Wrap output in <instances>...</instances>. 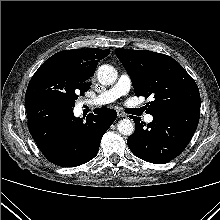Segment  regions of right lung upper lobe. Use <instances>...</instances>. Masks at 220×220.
<instances>
[{
  "label": "right lung upper lobe",
  "instance_id": "obj_1",
  "mask_svg": "<svg viewBox=\"0 0 220 220\" xmlns=\"http://www.w3.org/2000/svg\"><path fill=\"white\" fill-rule=\"evenodd\" d=\"M109 53V49L101 50L98 48L63 50L48 58L44 63L66 64L82 74L92 76L97 63Z\"/></svg>",
  "mask_w": 220,
  "mask_h": 220
}]
</instances>
